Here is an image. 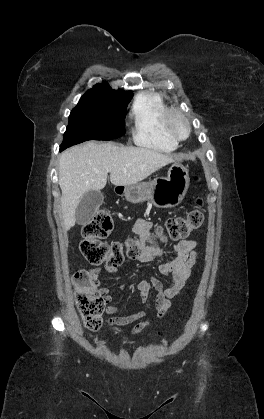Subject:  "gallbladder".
<instances>
[{"instance_id":"gallbladder-1","label":"gallbladder","mask_w":264,"mask_h":419,"mask_svg":"<svg viewBox=\"0 0 264 419\" xmlns=\"http://www.w3.org/2000/svg\"><path fill=\"white\" fill-rule=\"evenodd\" d=\"M104 201V196L101 191L90 190L86 192L76 208L75 219L77 224L84 225L88 223L97 209L101 206Z\"/></svg>"}]
</instances>
